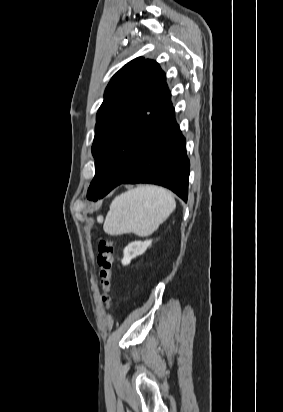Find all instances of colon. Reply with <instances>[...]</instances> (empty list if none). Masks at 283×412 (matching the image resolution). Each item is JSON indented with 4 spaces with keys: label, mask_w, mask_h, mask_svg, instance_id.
I'll return each instance as SVG.
<instances>
[{
    "label": "colon",
    "mask_w": 283,
    "mask_h": 412,
    "mask_svg": "<svg viewBox=\"0 0 283 412\" xmlns=\"http://www.w3.org/2000/svg\"><path fill=\"white\" fill-rule=\"evenodd\" d=\"M97 264L99 267L100 284L102 288V301L107 309L111 308L109 291L114 265V245L109 239H100L97 246Z\"/></svg>",
    "instance_id": "obj_1"
}]
</instances>
